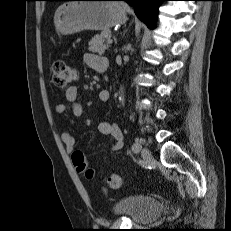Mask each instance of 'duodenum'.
<instances>
[{
  "mask_svg": "<svg viewBox=\"0 0 231 231\" xmlns=\"http://www.w3.org/2000/svg\"><path fill=\"white\" fill-rule=\"evenodd\" d=\"M107 68H108V62H107V64H102V65H100V66L97 68V71L100 72V73H103V72H105V71L107 70Z\"/></svg>",
  "mask_w": 231,
  "mask_h": 231,
  "instance_id": "410a0bca",
  "label": "duodenum"
}]
</instances>
